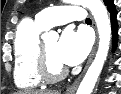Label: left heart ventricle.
Listing matches in <instances>:
<instances>
[{
	"mask_svg": "<svg viewBox=\"0 0 121 94\" xmlns=\"http://www.w3.org/2000/svg\"><path fill=\"white\" fill-rule=\"evenodd\" d=\"M44 46L46 49V53L49 59V63L52 69H59L64 67L56 55V48H57V41L56 40H49L44 42Z\"/></svg>",
	"mask_w": 121,
	"mask_h": 94,
	"instance_id": "1",
	"label": "left heart ventricle"
}]
</instances>
